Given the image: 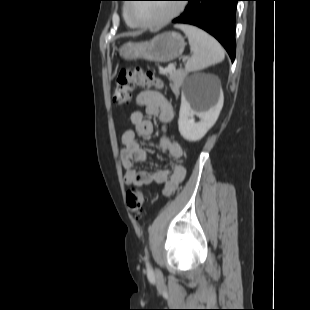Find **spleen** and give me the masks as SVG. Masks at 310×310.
<instances>
[{"label":"spleen","mask_w":310,"mask_h":310,"mask_svg":"<svg viewBox=\"0 0 310 310\" xmlns=\"http://www.w3.org/2000/svg\"><path fill=\"white\" fill-rule=\"evenodd\" d=\"M176 27L188 37L190 49L193 53L185 66L186 71H200L224 60V49L208 33L186 24H180Z\"/></svg>","instance_id":"obj_1"}]
</instances>
